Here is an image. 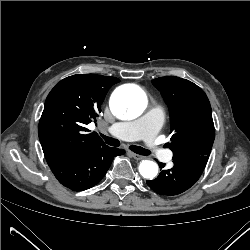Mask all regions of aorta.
I'll return each mask as SVG.
<instances>
[{
	"label": "aorta",
	"mask_w": 250,
	"mask_h": 250,
	"mask_svg": "<svg viewBox=\"0 0 250 250\" xmlns=\"http://www.w3.org/2000/svg\"><path fill=\"white\" fill-rule=\"evenodd\" d=\"M147 105L145 94L137 86L119 88L110 99L111 112L124 119L137 118L145 111ZM139 172L144 178L152 179L158 173V165L150 160H142Z\"/></svg>",
	"instance_id": "aorta-1"
}]
</instances>
